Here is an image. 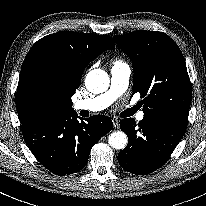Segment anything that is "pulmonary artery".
<instances>
[{"label": "pulmonary artery", "instance_id": "pulmonary-artery-1", "mask_svg": "<svg viewBox=\"0 0 206 206\" xmlns=\"http://www.w3.org/2000/svg\"><path fill=\"white\" fill-rule=\"evenodd\" d=\"M130 75L131 69L126 63L121 61L115 62L111 68L109 89L98 96L76 101L74 108L76 110H87L90 112H98L106 109L126 91ZM136 119L142 121L144 119V113H137Z\"/></svg>", "mask_w": 206, "mask_h": 206}]
</instances>
